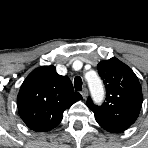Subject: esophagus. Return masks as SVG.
I'll use <instances>...</instances> for the list:
<instances>
[{
  "mask_svg": "<svg viewBox=\"0 0 148 148\" xmlns=\"http://www.w3.org/2000/svg\"><path fill=\"white\" fill-rule=\"evenodd\" d=\"M81 94H82L83 98H86L88 96V90H87V88H84L82 90Z\"/></svg>",
  "mask_w": 148,
  "mask_h": 148,
  "instance_id": "obj_1",
  "label": "esophagus"
}]
</instances>
